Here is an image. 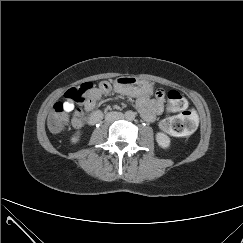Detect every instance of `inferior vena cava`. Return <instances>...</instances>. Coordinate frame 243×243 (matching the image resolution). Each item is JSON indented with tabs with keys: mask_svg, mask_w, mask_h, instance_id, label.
<instances>
[{
	"mask_svg": "<svg viewBox=\"0 0 243 243\" xmlns=\"http://www.w3.org/2000/svg\"><path fill=\"white\" fill-rule=\"evenodd\" d=\"M120 117H122V116H119L118 118H120ZM106 121L107 122H112V121H114V118H112L110 116H106Z\"/></svg>",
	"mask_w": 243,
	"mask_h": 243,
	"instance_id": "obj_1",
	"label": "inferior vena cava"
}]
</instances>
